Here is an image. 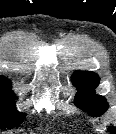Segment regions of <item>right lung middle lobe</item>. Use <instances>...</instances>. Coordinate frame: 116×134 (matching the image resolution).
I'll return each instance as SVG.
<instances>
[{
	"label": "right lung middle lobe",
	"instance_id": "1",
	"mask_svg": "<svg viewBox=\"0 0 116 134\" xmlns=\"http://www.w3.org/2000/svg\"><path fill=\"white\" fill-rule=\"evenodd\" d=\"M15 95L0 94V129L14 128L21 124L25 114L15 109Z\"/></svg>",
	"mask_w": 116,
	"mask_h": 134
}]
</instances>
